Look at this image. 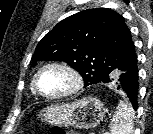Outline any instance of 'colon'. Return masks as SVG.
Returning a JSON list of instances; mask_svg holds the SVG:
<instances>
[{
	"mask_svg": "<svg viewBox=\"0 0 153 134\" xmlns=\"http://www.w3.org/2000/svg\"><path fill=\"white\" fill-rule=\"evenodd\" d=\"M52 134H74V133H68L63 128L60 127H54L52 129Z\"/></svg>",
	"mask_w": 153,
	"mask_h": 134,
	"instance_id": "obj_1",
	"label": "colon"
}]
</instances>
